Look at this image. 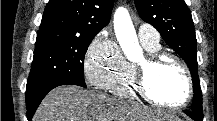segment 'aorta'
I'll use <instances>...</instances> for the list:
<instances>
[{
  "label": "aorta",
  "mask_w": 217,
  "mask_h": 121,
  "mask_svg": "<svg viewBox=\"0 0 217 121\" xmlns=\"http://www.w3.org/2000/svg\"><path fill=\"white\" fill-rule=\"evenodd\" d=\"M113 22L116 38L125 56L130 60L138 57L141 54V47L127 9L118 8L115 11Z\"/></svg>",
  "instance_id": "762f6f07"
}]
</instances>
